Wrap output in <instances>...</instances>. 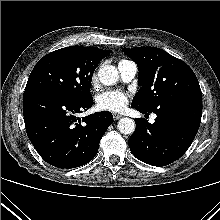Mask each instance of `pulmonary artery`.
<instances>
[{
  "instance_id": "1",
  "label": "pulmonary artery",
  "mask_w": 220,
  "mask_h": 220,
  "mask_svg": "<svg viewBox=\"0 0 220 220\" xmlns=\"http://www.w3.org/2000/svg\"><path fill=\"white\" fill-rule=\"evenodd\" d=\"M118 70L121 79L124 82L131 81L137 74L138 68L135 62L130 60H121L118 63ZM155 119V116L152 117V120Z\"/></svg>"
}]
</instances>
